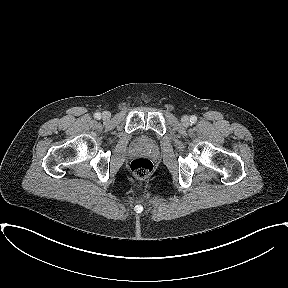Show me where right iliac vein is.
Instances as JSON below:
<instances>
[{
    "label": "right iliac vein",
    "instance_id": "63e3f726",
    "mask_svg": "<svg viewBox=\"0 0 288 288\" xmlns=\"http://www.w3.org/2000/svg\"><path fill=\"white\" fill-rule=\"evenodd\" d=\"M110 117H111L110 112H108V111L103 112V114H102L103 120H109Z\"/></svg>",
    "mask_w": 288,
    "mask_h": 288
}]
</instances>
